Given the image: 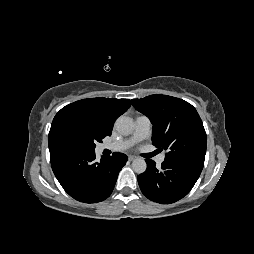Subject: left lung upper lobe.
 <instances>
[{"label": "left lung upper lobe", "mask_w": 254, "mask_h": 254, "mask_svg": "<svg viewBox=\"0 0 254 254\" xmlns=\"http://www.w3.org/2000/svg\"><path fill=\"white\" fill-rule=\"evenodd\" d=\"M132 104L151 120L152 143L167 151L165 160H189L204 165L206 132L191 104L159 94L132 99Z\"/></svg>", "instance_id": "obj_1"}]
</instances>
